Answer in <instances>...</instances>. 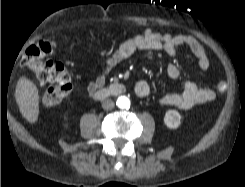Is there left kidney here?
<instances>
[{"mask_svg": "<svg viewBox=\"0 0 245 187\" xmlns=\"http://www.w3.org/2000/svg\"><path fill=\"white\" fill-rule=\"evenodd\" d=\"M164 123L170 129H176L181 124V115L177 110H168L164 116Z\"/></svg>", "mask_w": 245, "mask_h": 187, "instance_id": "5707ae66", "label": "left kidney"}]
</instances>
